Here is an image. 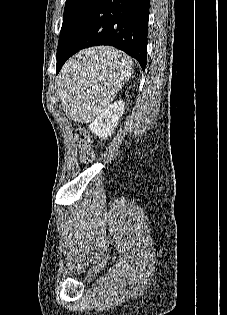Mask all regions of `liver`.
Segmentation results:
<instances>
[{
    "label": "liver",
    "mask_w": 227,
    "mask_h": 315,
    "mask_svg": "<svg viewBox=\"0 0 227 315\" xmlns=\"http://www.w3.org/2000/svg\"><path fill=\"white\" fill-rule=\"evenodd\" d=\"M100 48H102V47H97V48H95V49L99 50Z\"/></svg>",
    "instance_id": "6515ba94"
}]
</instances>
